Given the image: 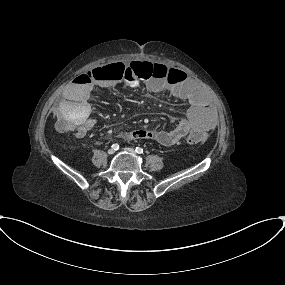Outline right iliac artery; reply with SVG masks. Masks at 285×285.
Segmentation results:
<instances>
[{"label": "right iliac artery", "mask_w": 285, "mask_h": 285, "mask_svg": "<svg viewBox=\"0 0 285 285\" xmlns=\"http://www.w3.org/2000/svg\"><path fill=\"white\" fill-rule=\"evenodd\" d=\"M113 150H118L119 149V145L117 143L113 144L112 146Z\"/></svg>", "instance_id": "right-iliac-artery-1"}]
</instances>
